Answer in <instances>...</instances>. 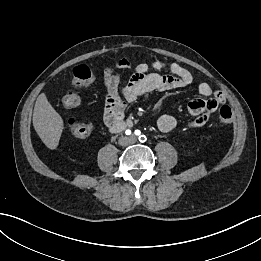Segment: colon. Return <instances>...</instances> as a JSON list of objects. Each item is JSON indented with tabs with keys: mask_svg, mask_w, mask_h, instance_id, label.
I'll use <instances>...</instances> for the list:
<instances>
[{
	"mask_svg": "<svg viewBox=\"0 0 261 261\" xmlns=\"http://www.w3.org/2000/svg\"><path fill=\"white\" fill-rule=\"evenodd\" d=\"M124 64H128L127 61L122 60ZM93 80V74L90 67L86 64H80L74 68L73 71V90L69 91L63 98L65 107L71 109L79 102L78 90L87 87ZM233 121V111L227 106L223 105L219 110V122L222 124H230ZM70 133L76 138H86L92 131L90 123L78 122L71 118L67 122Z\"/></svg>",
	"mask_w": 261,
	"mask_h": 261,
	"instance_id": "colon-1",
	"label": "colon"
}]
</instances>
